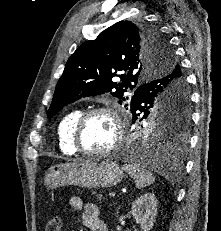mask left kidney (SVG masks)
<instances>
[{"mask_svg": "<svg viewBox=\"0 0 221 231\" xmlns=\"http://www.w3.org/2000/svg\"><path fill=\"white\" fill-rule=\"evenodd\" d=\"M131 214L142 231H150L157 216V199L153 193H146L137 198L131 207Z\"/></svg>", "mask_w": 221, "mask_h": 231, "instance_id": "left-kidney-1", "label": "left kidney"}]
</instances>
